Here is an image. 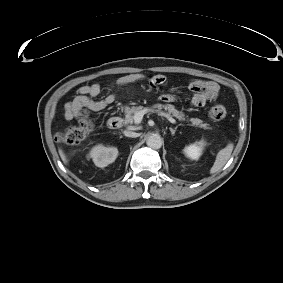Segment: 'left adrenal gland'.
<instances>
[{
    "mask_svg": "<svg viewBox=\"0 0 283 283\" xmlns=\"http://www.w3.org/2000/svg\"><path fill=\"white\" fill-rule=\"evenodd\" d=\"M177 127L178 126H176L174 129L173 128H169V130H170V132H171V134H172V136H174L175 135V132H176V130H177Z\"/></svg>",
    "mask_w": 283,
    "mask_h": 283,
    "instance_id": "1",
    "label": "left adrenal gland"
}]
</instances>
